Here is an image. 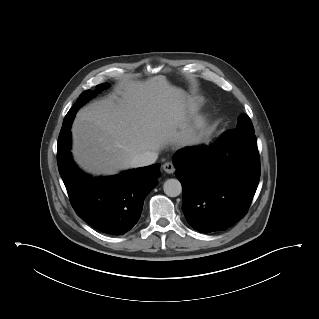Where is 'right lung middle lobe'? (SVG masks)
Masks as SVG:
<instances>
[{"label":"right lung middle lobe","instance_id":"1","mask_svg":"<svg viewBox=\"0 0 319 319\" xmlns=\"http://www.w3.org/2000/svg\"><path fill=\"white\" fill-rule=\"evenodd\" d=\"M108 86H109V84H107V83L97 85L96 91L87 90V91H84L79 96V98L77 99L74 106L69 110V112L65 116L59 137H62L70 130L72 120H73L75 114L77 113L78 109L82 105H84L89 99L93 98L96 95V93H100L102 90H104Z\"/></svg>","mask_w":319,"mask_h":319}]
</instances>
